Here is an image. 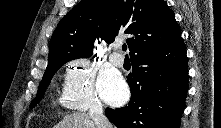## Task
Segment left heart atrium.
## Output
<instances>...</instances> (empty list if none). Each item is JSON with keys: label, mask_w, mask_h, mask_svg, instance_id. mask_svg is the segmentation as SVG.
<instances>
[{"label": "left heart atrium", "mask_w": 221, "mask_h": 128, "mask_svg": "<svg viewBox=\"0 0 221 128\" xmlns=\"http://www.w3.org/2000/svg\"><path fill=\"white\" fill-rule=\"evenodd\" d=\"M99 89L103 99L108 103H118L127 96V87L116 73L102 74Z\"/></svg>", "instance_id": "39dd6f15"}]
</instances>
